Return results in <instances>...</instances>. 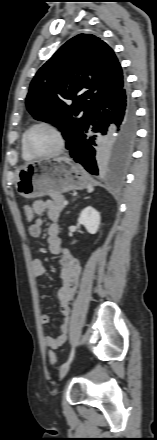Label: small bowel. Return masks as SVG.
Here are the masks:
<instances>
[{"mask_svg": "<svg viewBox=\"0 0 157 440\" xmlns=\"http://www.w3.org/2000/svg\"><path fill=\"white\" fill-rule=\"evenodd\" d=\"M32 209L35 215H41L46 212L50 219L51 223L48 227L47 242L51 254L60 259V278L62 285L57 291V298L59 300L60 313L63 316V320L58 335H45L44 337L45 343L49 348L57 349L64 344L67 339L70 302L78 288L82 269L79 261L68 249L62 246L58 225L60 215L59 207L51 200H36L32 204ZM42 224L43 220L40 217L35 218L29 227L30 236L34 238L39 237L41 235ZM32 271L35 277L44 275L46 268L41 259L35 258L32 260ZM40 320L42 324H47L49 317L46 314H42Z\"/></svg>", "mask_w": 157, "mask_h": 440, "instance_id": "obj_1", "label": "small bowel"}]
</instances>
